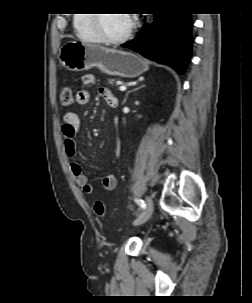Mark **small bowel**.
<instances>
[{
    "instance_id": "obj_1",
    "label": "small bowel",
    "mask_w": 252,
    "mask_h": 303,
    "mask_svg": "<svg viewBox=\"0 0 252 303\" xmlns=\"http://www.w3.org/2000/svg\"><path fill=\"white\" fill-rule=\"evenodd\" d=\"M82 89H80L76 94V103L78 105H85L88 103L90 94L88 87L95 82V76L93 74L87 73L82 76ZM99 93L104 98L107 105L114 107L117 104L116 97L112 92L105 88L99 87ZM63 131V148L66 154L72 159L76 156V136L81 131V121L77 114L73 111H68L64 115V123L62 126ZM70 168L72 175L74 176L77 184L82 188L85 194H91L94 191L93 185L89 182L86 174H84L82 167L76 161L70 163ZM117 185V178L112 173L105 174L101 179V186L105 191L113 190Z\"/></svg>"
}]
</instances>
